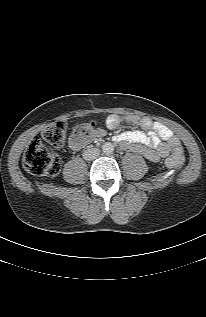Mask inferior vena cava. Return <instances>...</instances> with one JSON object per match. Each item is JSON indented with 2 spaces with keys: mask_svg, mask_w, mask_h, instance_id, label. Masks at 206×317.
<instances>
[{
  "mask_svg": "<svg viewBox=\"0 0 206 317\" xmlns=\"http://www.w3.org/2000/svg\"><path fill=\"white\" fill-rule=\"evenodd\" d=\"M100 155V150L98 148H89L84 151L83 158L85 160H93L96 159Z\"/></svg>",
  "mask_w": 206,
  "mask_h": 317,
  "instance_id": "602c4592",
  "label": "inferior vena cava"
}]
</instances>
